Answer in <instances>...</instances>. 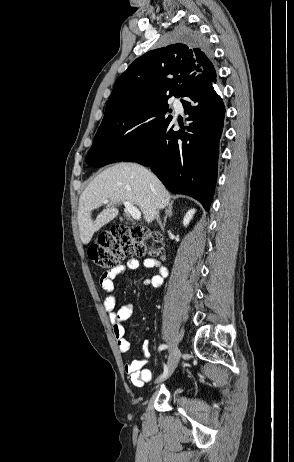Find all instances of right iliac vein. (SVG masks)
Returning <instances> with one entry per match:
<instances>
[{"label":"right iliac vein","instance_id":"1","mask_svg":"<svg viewBox=\"0 0 294 462\" xmlns=\"http://www.w3.org/2000/svg\"><path fill=\"white\" fill-rule=\"evenodd\" d=\"M181 357V352L178 347H174L171 351V354L168 359V365H167V374L164 378H158L155 383H161L164 380H166L168 377L172 375V373L175 371L179 360Z\"/></svg>","mask_w":294,"mask_h":462}]
</instances>
